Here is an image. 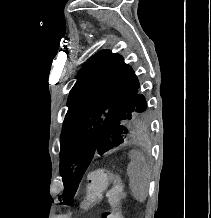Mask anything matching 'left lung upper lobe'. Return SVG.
Returning <instances> with one entry per match:
<instances>
[{"label": "left lung upper lobe", "mask_w": 211, "mask_h": 218, "mask_svg": "<svg viewBox=\"0 0 211 218\" xmlns=\"http://www.w3.org/2000/svg\"><path fill=\"white\" fill-rule=\"evenodd\" d=\"M76 78L60 141L65 202L74 197L94 155L137 137L149 115L142 85L121 55L98 52Z\"/></svg>", "instance_id": "1"}]
</instances>
